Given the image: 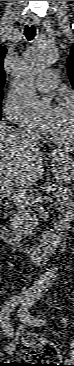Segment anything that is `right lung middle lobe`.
<instances>
[{
    "label": "right lung middle lobe",
    "instance_id": "obj_1",
    "mask_svg": "<svg viewBox=\"0 0 74 366\" xmlns=\"http://www.w3.org/2000/svg\"><path fill=\"white\" fill-rule=\"evenodd\" d=\"M2 96H3V92L1 91V92H0V102H1V100H2Z\"/></svg>",
    "mask_w": 74,
    "mask_h": 366
}]
</instances>
